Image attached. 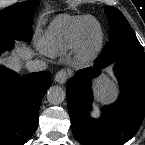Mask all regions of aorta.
Segmentation results:
<instances>
[{
	"mask_svg": "<svg viewBox=\"0 0 145 145\" xmlns=\"http://www.w3.org/2000/svg\"><path fill=\"white\" fill-rule=\"evenodd\" d=\"M66 97V92L59 86H52L47 92V99L51 104H61Z\"/></svg>",
	"mask_w": 145,
	"mask_h": 145,
	"instance_id": "aorta-1",
	"label": "aorta"
}]
</instances>
